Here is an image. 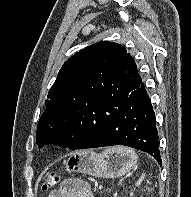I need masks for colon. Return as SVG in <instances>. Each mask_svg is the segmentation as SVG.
<instances>
[{
    "label": "colon",
    "instance_id": "obj_1",
    "mask_svg": "<svg viewBox=\"0 0 191 197\" xmlns=\"http://www.w3.org/2000/svg\"><path fill=\"white\" fill-rule=\"evenodd\" d=\"M59 181V177L56 173L50 174L43 182L42 189L48 191L52 189Z\"/></svg>",
    "mask_w": 191,
    "mask_h": 197
}]
</instances>
